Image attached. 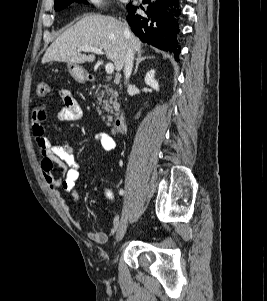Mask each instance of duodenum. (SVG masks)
Instances as JSON below:
<instances>
[{
  "label": "duodenum",
  "mask_w": 267,
  "mask_h": 301,
  "mask_svg": "<svg viewBox=\"0 0 267 301\" xmlns=\"http://www.w3.org/2000/svg\"><path fill=\"white\" fill-rule=\"evenodd\" d=\"M113 127H114V130L117 133L123 132L125 130V128H126V117H125V114L122 111H120L118 113Z\"/></svg>",
  "instance_id": "1"
}]
</instances>
